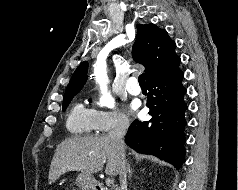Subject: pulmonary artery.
I'll return each instance as SVG.
<instances>
[{
    "label": "pulmonary artery",
    "instance_id": "e3ab8cb5",
    "mask_svg": "<svg viewBox=\"0 0 238 190\" xmlns=\"http://www.w3.org/2000/svg\"><path fill=\"white\" fill-rule=\"evenodd\" d=\"M126 90L131 95H139L141 92V89L139 85L137 84V80L134 77L129 78L126 84Z\"/></svg>",
    "mask_w": 238,
    "mask_h": 190
}]
</instances>
